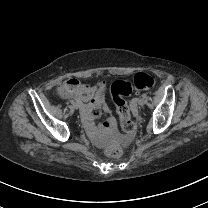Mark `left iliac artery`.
Listing matches in <instances>:
<instances>
[{
    "label": "left iliac artery",
    "instance_id": "left-iliac-artery-1",
    "mask_svg": "<svg viewBox=\"0 0 208 208\" xmlns=\"http://www.w3.org/2000/svg\"><path fill=\"white\" fill-rule=\"evenodd\" d=\"M142 97H143V98H146V97H147V94H146V93H144V94L142 95Z\"/></svg>",
    "mask_w": 208,
    "mask_h": 208
}]
</instances>
